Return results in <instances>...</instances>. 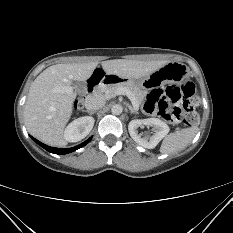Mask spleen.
<instances>
[{"label": "spleen", "mask_w": 233, "mask_h": 233, "mask_svg": "<svg viewBox=\"0 0 233 233\" xmlns=\"http://www.w3.org/2000/svg\"><path fill=\"white\" fill-rule=\"evenodd\" d=\"M198 130V127L194 126L169 134L164 138L160 152L170 154L183 150L193 140Z\"/></svg>", "instance_id": "obj_1"}]
</instances>
